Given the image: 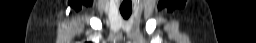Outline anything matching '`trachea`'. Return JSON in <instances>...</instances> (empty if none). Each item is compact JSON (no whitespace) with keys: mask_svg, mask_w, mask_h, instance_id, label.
I'll use <instances>...</instances> for the list:
<instances>
[{"mask_svg":"<svg viewBox=\"0 0 256 43\" xmlns=\"http://www.w3.org/2000/svg\"><path fill=\"white\" fill-rule=\"evenodd\" d=\"M120 13H121V15L124 19H128L130 17L131 13H132V9L131 10H122V9H120Z\"/></svg>","mask_w":256,"mask_h":43,"instance_id":"trachea-1","label":"trachea"}]
</instances>
